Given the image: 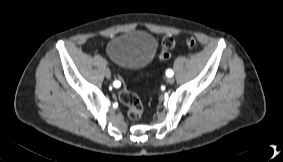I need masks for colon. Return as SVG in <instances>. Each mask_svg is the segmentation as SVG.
<instances>
[{"mask_svg": "<svg viewBox=\"0 0 283 162\" xmlns=\"http://www.w3.org/2000/svg\"><path fill=\"white\" fill-rule=\"evenodd\" d=\"M185 45L188 48L197 46V41L194 37H189L185 40ZM175 47V40L171 36H165L162 40V47L159 52V59L162 62L168 61L170 58V51ZM119 100L127 108V115L130 119L136 120L140 118L143 112L142 103L139 97L129 91L127 88H120L118 92Z\"/></svg>", "mask_w": 283, "mask_h": 162, "instance_id": "1", "label": "colon"}]
</instances>
